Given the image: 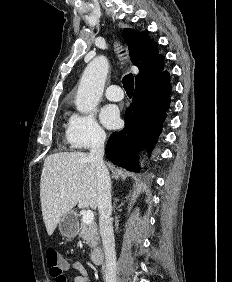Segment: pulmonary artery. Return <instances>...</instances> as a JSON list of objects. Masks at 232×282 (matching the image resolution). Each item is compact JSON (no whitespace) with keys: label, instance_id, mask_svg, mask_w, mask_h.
<instances>
[{"label":"pulmonary artery","instance_id":"e3ab8cb5","mask_svg":"<svg viewBox=\"0 0 232 282\" xmlns=\"http://www.w3.org/2000/svg\"><path fill=\"white\" fill-rule=\"evenodd\" d=\"M105 96L111 101H120L123 99L124 94L120 86L118 85H109L105 89Z\"/></svg>","mask_w":232,"mask_h":282}]
</instances>
